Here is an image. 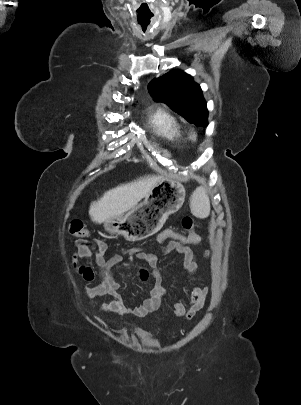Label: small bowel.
<instances>
[{"label": "small bowel", "mask_w": 301, "mask_h": 405, "mask_svg": "<svg viewBox=\"0 0 301 405\" xmlns=\"http://www.w3.org/2000/svg\"><path fill=\"white\" fill-rule=\"evenodd\" d=\"M168 232V229L164 230L157 238L159 244H164L168 241L167 244L161 248V255L165 256L173 252L178 254L182 257L184 270L189 274H192L196 267V259L193 250L191 247H182L180 245V242L176 239L182 237L181 235H170ZM94 242L97 245V250L92 252L91 247L88 245V241L82 238L76 240V250L72 255L74 267L78 268L79 272L86 280H94V271L88 266H78V258H92L98 268L101 282L93 287L85 288V294L87 296L94 297L109 295L113 298V301L105 307L108 312L119 315L128 313L129 308L120 294V284L112 275L111 268L119 263L130 264L133 261V256H135L138 260L145 262L150 268V270L145 267L139 269L138 275L140 280L146 281L151 276L153 279V285L149 291L148 297L136 306L132 313L136 316L144 317L162 306L169 292L163 286L162 276L157 268L159 255L146 250L129 248L110 259H106L104 256L107 249L106 243L98 239H94ZM208 255L209 253L207 252L206 256ZM207 294L208 288L191 286L188 296L189 307H185V297L176 299L173 303L175 315L185 319L192 318L203 307Z\"/></svg>", "instance_id": "obj_1"}]
</instances>
